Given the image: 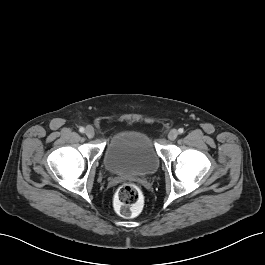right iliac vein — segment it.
Segmentation results:
<instances>
[{"instance_id":"1","label":"right iliac vein","mask_w":265,"mask_h":265,"mask_svg":"<svg viewBox=\"0 0 265 265\" xmlns=\"http://www.w3.org/2000/svg\"><path fill=\"white\" fill-rule=\"evenodd\" d=\"M85 134L88 138H93L95 135L94 129L91 126H88L85 130Z\"/></svg>"}]
</instances>
